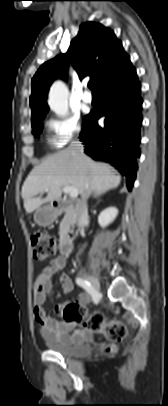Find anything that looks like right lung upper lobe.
<instances>
[{"label":"right lung upper lobe","mask_w":168,"mask_h":406,"mask_svg":"<svg viewBox=\"0 0 168 406\" xmlns=\"http://www.w3.org/2000/svg\"><path fill=\"white\" fill-rule=\"evenodd\" d=\"M69 64L80 79L90 76L95 88H100L132 65L112 30L100 23H83L68 52L45 62L32 78V124L42 120L48 112L49 87L56 78L66 76Z\"/></svg>","instance_id":"obj_1"}]
</instances>
